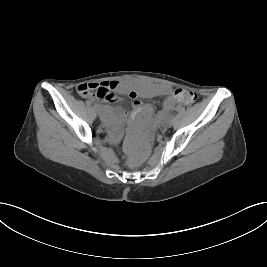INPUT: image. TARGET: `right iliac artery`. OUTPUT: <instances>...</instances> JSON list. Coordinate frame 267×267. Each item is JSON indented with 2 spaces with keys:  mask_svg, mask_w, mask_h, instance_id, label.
<instances>
[{
  "mask_svg": "<svg viewBox=\"0 0 267 267\" xmlns=\"http://www.w3.org/2000/svg\"><path fill=\"white\" fill-rule=\"evenodd\" d=\"M93 107H94V109H98V105H96V104H94Z\"/></svg>",
  "mask_w": 267,
  "mask_h": 267,
  "instance_id": "82829eb1",
  "label": "right iliac artery"
}]
</instances>
